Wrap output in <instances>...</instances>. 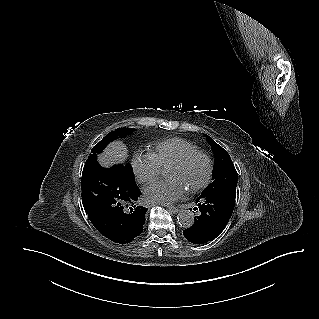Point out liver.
Listing matches in <instances>:
<instances>
[{
  "label": "liver",
  "instance_id": "6515ba94",
  "mask_svg": "<svg viewBox=\"0 0 319 319\" xmlns=\"http://www.w3.org/2000/svg\"><path fill=\"white\" fill-rule=\"evenodd\" d=\"M128 157V150L121 141L112 142L105 152L98 156L101 165L109 166L112 163H123Z\"/></svg>",
  "mask_w": 319,
  "mask_h": 319
}]
</instances>
